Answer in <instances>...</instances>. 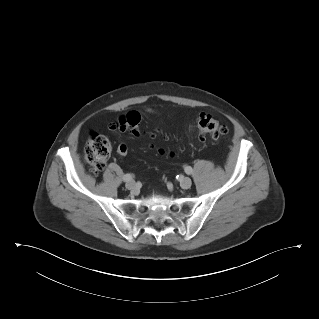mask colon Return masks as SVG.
<instances>
[{
	"mask_svg": "<svg viewBox=\"0 0 319 319\" xmlns=\"http://www.w3.org/2000/svg\"><path fill=\"white\" fill-rule=\"evenodd\" d=\"M118 129L134 136L141 135V116L135 111L128 112L118 121ZM195 130L201 136L220 139L228 133L227 126L209 114H200L195 121ZM119 151L125 153L128 148L125 144L119 145ZM111 145L107 137L100 134H91L87 140L84 156L96 173L102 171L110 157ZM127 154V153H126Z\"/></svg>",
	"mask_w": 319,
	"mask_h": 319,
	"instance_id": "colon-1",
	"label": "colon"
}]
</instances>
